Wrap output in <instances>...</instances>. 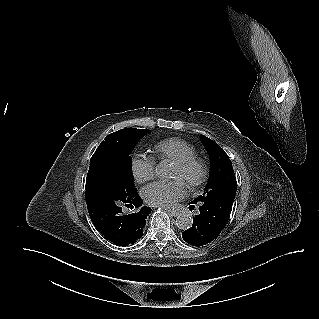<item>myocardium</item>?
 <instances>
[{
  "label": "myocardium",
  "instance_id": "myocardium-1",
  "mask_svg": "<svg viewBox=\"0 0 319 319\" xmlns=\"http://www.w3.org/2000/svg\"><path fill=\"white\" fill-rule=\"evenodd\" d=\"M182 173L186 175V184L190 188L201 186L207 179L208 166L206 162L197 156L189 157L174 164ZM196 169L197 174L190 176L191 172Z\"/></svg>",
  "mask_w": 319,
  "mask_h": 319
}]
</instances>
